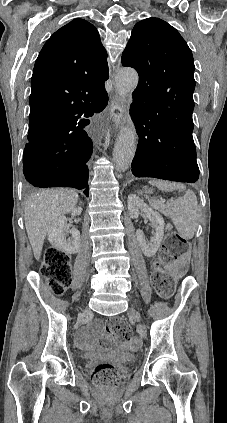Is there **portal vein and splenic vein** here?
<instances>
[{"mask_svg": "<svg viewBox=\"0 0 227 423\" xmlns=\"http://www.w3.org/2000/svg\"><path fill=\"white\" fill-rule=\"evenodd\" d=\"M160 203H161V204H165V203H166V200H165V199H161V200H160Z\"/></svg>", "mask_w": 227, "mask_h": 423, "instance_id": "portal-vein-and-splenic-vein-1", "label": "portal vein and splenic vein"}]
</instances>
